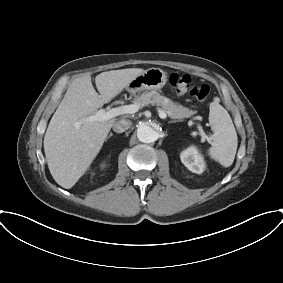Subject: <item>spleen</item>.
<instances>
[{"label": "spleen", "instance_id": "spleen-1", "mask_svg": "<svg viewBox=\"0 0 283 283\" xmlns=\"http://www.w3.org/2000/svg\"><path fill=\"white\" fill-rule=\"evenodd\" d=\"M209 109L213 135L208 155L223 167H229L234 162L238 145L234 124L227 110L218 101L212 102Z\"/></svg>", "mask_w": 283, "mask_h": 283}]
</instances>
